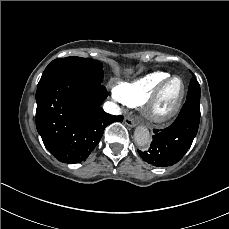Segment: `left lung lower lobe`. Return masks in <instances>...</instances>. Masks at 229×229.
Masks as SVG:
<instances>
[{
	"label": "left lung lower lobe",
	"mask_w": 229,
	"mask_h": 229,
	"mask_svg": "<svg viewBox=\"0 0 229 229\" xmlns=\"http://www.w3.org/2000/svg\"><path fill=\"white\" fill-rule=\"evenodd\" d=\"M200 122V85L195 78L190 81L186 102L177 119L167 128L154 130L153 141L141 158L156 167L177 163L185 155L195 138Z\"/></svg>",
	"instance_id": "obj_1"
}]
</instances>
